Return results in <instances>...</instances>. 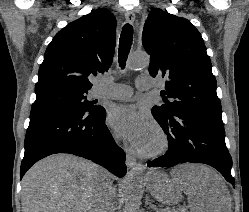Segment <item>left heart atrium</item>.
Wrapping results in <instances>:
<instances>
[{
  "mask_svg": "<svg viewBox=\"0 0 249 212\" xmlns=\"http://www.w3.org/2000/svg\"><path fill=\"white\" fill-rule=\"evenodd\" d=\"M108 123L115 133L130 143L132 148L143 150L149 124L134 105L114 106L109 113Z\"/></svg>",
  "mask_w": 249,
  "mask_h": 212,
  "instance_id": "left-heart-atrium-1",
  "label": "left heart atrium"
}]
</instances>
